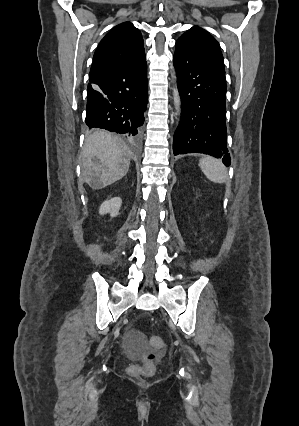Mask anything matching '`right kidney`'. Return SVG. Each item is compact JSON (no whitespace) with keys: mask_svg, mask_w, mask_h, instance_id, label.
Listing matches in <instances>:
<instances>
[{"mask_svg":"<svg viewBox=\"0 0 299 426\" xmlns=\"http://www.w3.org/2000/svg\"><path fill=\"white\" fill-rule=\"evenodd\" d=\"M121 204L122 199L120 197H114L106 200L101 204L99 213L101 215L109 213L111 217H116L119 214Z\"/></svg>","mask_w":299,"mask_h":426,"instance_id":"1","label":"right kidney"}]
</instances>
